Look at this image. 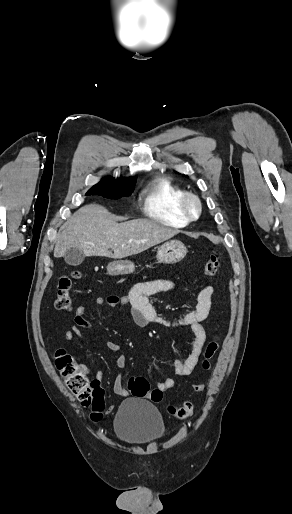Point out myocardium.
<instances>
[{"instance_id": "f54148a6", "label": "myocardium", "mask_w": 292, "mask_h": 514, "mask_svg": "<svg viewBox=\"0 0 292 514\" xmlns=\"http://www.w3.org/2000/svg\"><path fill=\"white\" fill-rule=\"evenodd\" d=\"M178 212L188 221L199 218L202 212L201 201L197 195L191 192H183L176 201ZM193 207V210L191 209Z\"/></svg>"}]
</instances>
